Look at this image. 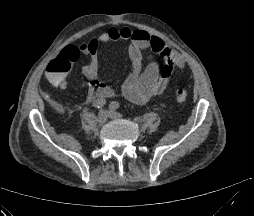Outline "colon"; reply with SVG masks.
Returning <instances> with one entry per match:
<instances>
[{"label": "colon", "mask_w": 254, "mask_h": 216, "mask_svg": "<svg viewBox=\"0 0 254 216\" xmlns=\"http://www.w3.org/2000/svg\"><path fill=\"white\" fill-rule=\"evenodd\" d=\"M76 57L72 58L68 62L65 61L64 58L61 56L52 60L47 66L48 78L53 81L58 80L63 74L68 72L71 67L72 61L76 59ZM174 95L176 101L179 103L185 102L188 97L186 90H184L183 88H177L174 92Z\"/></svg>", "instance_id": "obj_1"}]
</instances>
